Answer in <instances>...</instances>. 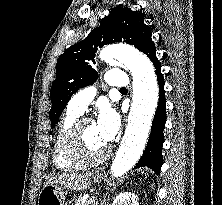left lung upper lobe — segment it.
Masks as SVG:
<instances>
[{
    "mask_svg": "<svg viewBox=\"0 0 222 205\" xmlns=\"http://www.w3.org/2000/svg\"><path fill=\"white\" fill-rule=\"evenodd\" d=\"M151 35L150 27L144 24L142 13L127 7H116L84 40L69 47L58 59L57 75L50 91L52 109L49 118L52 128L70 97L79 88L92 85L98 78V73L90 65V61L95 63L97 47L123 41L141 50Z\"/></svg>",
    "mask_w": 222,
    "mask_h": 205,
    "instance_id": "5c2ea615",
    "label": "left lung upper lobe"
}]
</instances>
